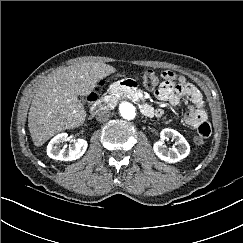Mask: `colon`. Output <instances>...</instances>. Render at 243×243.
<instances>
[{"label":"colon","instance_id":"obj_1","mask_svg":"<svg viewBox=\"0 0 243 243\" xmlns=\"http://www.w3.org/2000/svg\"><path fill=\"white\" fill-rule=\"evenodd\" d=\"M161 78H164L163 73L158 74L155 71L150 70L144 73L143 84L147 89L153 90L159 85ZM92 97L93 95L90 96L91 99ZM204 140L205 138L199 134L193 138V142L196 145H202L204 143Z\"/></svg>","mask_w":243,"mask_h":243}]
</instances>
